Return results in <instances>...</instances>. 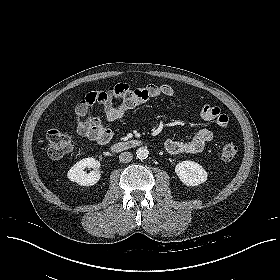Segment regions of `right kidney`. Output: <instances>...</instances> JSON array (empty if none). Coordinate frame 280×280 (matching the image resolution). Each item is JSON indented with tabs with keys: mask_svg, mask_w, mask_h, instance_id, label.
Segmentation results:
<instances>
[{
	"mask_svg": "<svg viewBox=\"0 0 280 280\" xmlns=\"http://www.w3.org/2000/svg\"><path fill=\"white\" fill-rule=\"evenodd\" d=\"M99 166L100 163L95 158H84L70 168L67 176L72 182H76L81 186H92L96 184L101 177L98 171ZM86 167L95 168V170L87 173L84 171Z\"/></svg>",
	"mask_w": 280,
	"mask_h": 280,
	"instance_id": "1",
	"label": "right kidney"
}]
</instances>
